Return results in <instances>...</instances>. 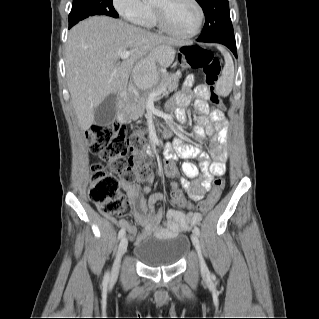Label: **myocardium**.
Listing matches in <instances>:
<instances>
[{
  "instance_id": "1",
  "label": "myocardium",
  "mask_w": 319,
  "mask_h": 319,
  "mask_svg": "<svg viewBox=\"0 0 319 319\" xmlns=\"http://www.w3.org/2000/svg\"><path fill=\"white\" fill-rule=\"evenodd\" d=\"M168 0H165V2H167ZM194 7L197 10L198 13V18H197V23L195 28L193 29V31L186 33V34H182L179 33L177 31H175L174 29H172L167 21H166V16H165V10L163 6H155L153 5V10H154V14L157 20L158 25L160 26V28L162 30H164L166 33L179 38V39H190L193 38L194 36H196L203 24V20H204V10L202 8V6L200 5V3L198 2V0H189Z\"/></svg>"
}]
</instances>
